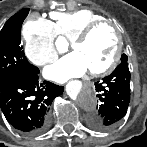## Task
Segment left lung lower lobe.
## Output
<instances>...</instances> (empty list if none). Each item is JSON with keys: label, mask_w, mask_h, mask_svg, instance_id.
Listing matches in <instances>:
<instances>
[{"label": "left lung lower lobe", "mask_w": 147, "mask_h": 147, "mask_svg": "<svg viewBox=\"0 0 147 147\" xmlns=\"http://www.w3.org/2000/svg\"><path fill=\"white\" fill-rule=\"evenodd\" d=\"M98 92L96 113L87 118V125L96 130L114 128L126 115L130 101V71L127 61L121 62L116 69L95 83Z\"/></svg>", "instance_id": "1"}]
</instances>
